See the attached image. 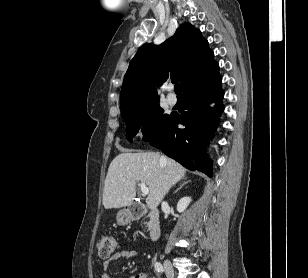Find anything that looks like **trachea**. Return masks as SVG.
Returning <instances> with one entry per match:
<instances>
[{"instance_id": "trachea-1", "label": "trachea", "mask_w": 308, "mask_h": 278, "mask_svg": "<svg viewBox=\"0 0 308 278\" xmlns=\"http://www.w3.org/2000/svg\"><path fill=\"white\" fill-rule=\"evenodd\" d=\"M174 90H175V93L177 95H181L182 92H181V85L179 83H177L175 86H174Z\"/></svg>"}]
</instances>
